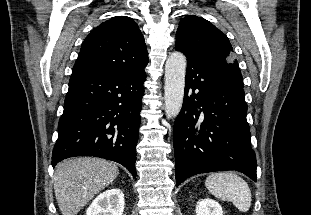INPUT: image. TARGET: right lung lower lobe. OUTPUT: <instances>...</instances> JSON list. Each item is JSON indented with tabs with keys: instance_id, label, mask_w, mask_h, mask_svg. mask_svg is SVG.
<instances>
[{
	"instance_id": "98d812e1",
	"label": "right lung lower lobe",
	"mask_w": 311,
	"mask_h": 215,
	"mask_svg": "<svg viewBox=\"0 0 311 215\" xmlns=\"http://www.w3.org/2000/svg\"><path fill=\"white\" fill-rule=\"evenodd\" d=\"M144 69L132 74H72L58 124L52 166L65 158L96 156L118 162L136 177Z\"/></svg>"
}]
</instances>
